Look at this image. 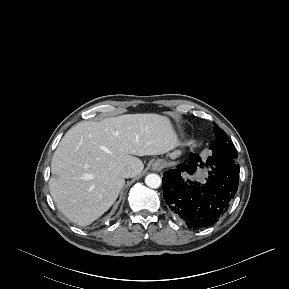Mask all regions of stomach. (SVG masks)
<instances>
[{
	"label": "stomach",
	"instance_id": "0dacf381",
	"mask_svg": "<svg viewBox=\"0 0 289 289\" xmlns=\"http://www.w3.org/2000/svg\"><path fill=\"white\" fill-rule=\"evenodd\" d=\"M177 146H184L183 144H179V143H177ZM181 151L180 150H175V151H173L171 154H170V158L171 159H176L177 157H179L180 155H181Z\"/></svg>",
	"mask_w": 289,
	"mask_h": 289
}]
</instances>
